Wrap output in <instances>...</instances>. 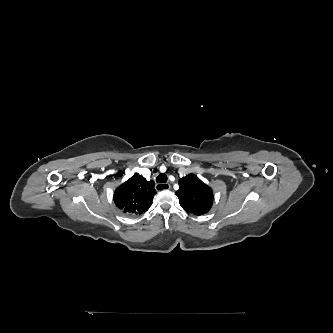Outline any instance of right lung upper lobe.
I'll use <instances>...</instances> for the list:
<instances>
[{
	"instance_id": "cb5924a9",
	"label": "right lung upper lobe",
	"mask_w": 333,
	"mask_h": 333,
	"mask_svg": "<svg viewBox=\"0 0 333 333\" xmlns=\"http://www.w3.org/2000/svg\"><path fill=\"white\" fill-rule=\"evenodd\" d=\"M155 183L135 174L114 192L115 205L127 215L142 214L152 204Z\"/></svg>"
}]
</instances>
